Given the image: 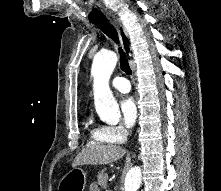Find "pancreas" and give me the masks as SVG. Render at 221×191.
Segmentation results:
<instances>
[{"label": "pancreas", "mask_w": 221, "mask_h": 191, "mask_svg": "<svg viewBox=\"0 0 221 191\" xmlns=\"http://www.w3.org/2000/svg\"><path fill=\"white\" fill-rule=\"evenodd\" d=\"M98 184L101 188L106 189L107 188V180H108V174L105 172H99L97 175Z\"/></svg>", "instance_id": "cf45deb5"}]
</instances>
